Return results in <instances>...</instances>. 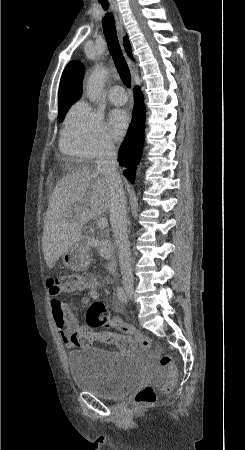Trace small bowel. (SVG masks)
<instances>
[{"mask_svg":"<svg viewBox=\"0 0 245 450\" xmlns=\"http://www.w3.org/2000/svg\"><path fill=\"white\" fill-rule=\"evenodd\" d=\"M90 282L85 286H78L70 289L69 291L85 290L86 296L83 298L84 303H89L92 300L98 299L97 289L99 283L92 277H89ZM49 304L51 309L52 318L54 324L58 330V334L62 342L69 348H78L85 345H80L75 339V332L80 328L74 313L72 312L68 302L57 298L59 291L57 288L51 287L48 291ZM113 306V305H112ZM117 319V318H115ZM109 327L118 328V325L111 324ZM156 350H160L156 347Z\"/></svg>","mask_w":245,"mask_h":450,"instance_id":"obj_1","label":"small bowel"}]
</instances>
